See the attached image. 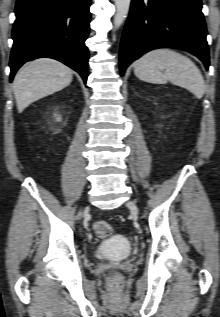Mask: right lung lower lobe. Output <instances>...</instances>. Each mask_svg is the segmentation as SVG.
Returning <instances> with one entry per match:
<instances>
[{
    "instance_id": "right-lung-lower-lobe-1",
    "label": "right lung lower lobe",
    "mask_w": 220,
    "mask_h": 317,
    "mask_svg": "<svg viewBox=\"0 0 220 317\" xmlns=\"http://www.w3.org/2000/svg\"><path fill=\"white\" fill-rule=\"evenodd\" d=\"M90 5L91 0H17L10 81L26 61L49 57L77 71L86 82L89 55L84 42Z\"/></svg>"
}]
</instances>
